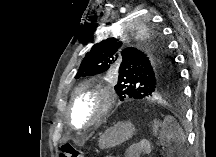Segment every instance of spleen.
Listing matches in <instances>:
<instances>
[{
  "label": "spleen",
  "mask_w": 216,
  "mask_h": 157,
  "mask_svg": "<svg viewBox=\"0 0 216 157\" xmlns=\"http://www.w3.org/2000/svg\"><path fill=\"white\" fill-rule=\"evenodd\" d=\"M159 136L160 143L165 145L169 152L180 151L182 155L186 137L183 129L172 116L165 117Z\"/></svg>",
  "instance_id": "spleen-1"
}]
</instances>
